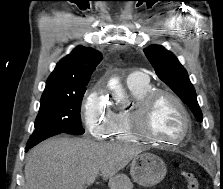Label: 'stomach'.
Here are the masks:
<instances>
[{"label":"stomach","instance_id":"0dacf381","mask_svg":"<svg viewBox=\"0 0 223 189\" xmlns=\"http://www.w3.org/2000/svg\"><path fill=\"white\" fill-rule=\"evenodd\" d=\"M166 172L167 168L163 160L148 152L135 156L130 164V174L133 180L145 187L158 184ZM125 182H128V179H125Z\"/></svg>","mask_w":223,"mask_h":189}]
</instances>
